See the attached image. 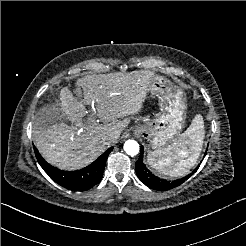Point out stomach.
I'll use <instances>...</instances> for the list:
<instances>
[{"label": "stomach", "mask_w": 246, "mask_h": 246, "mask_svg": "<svg viewBox=\"0 0 246 246\" xmlns=\"http://www.w3.org/2000/svg\"><path fill=\"white\" fill-rule=\"evenodd\" d=\"M149 91L160 99L161 112L156 115L155 119L136 126L134 134L147 139L154 149L160 150L182 129L186 99L183 92L162 76L154 79Z\"/></svg>", "instance_id": "stomach-1"}]
</instances>
